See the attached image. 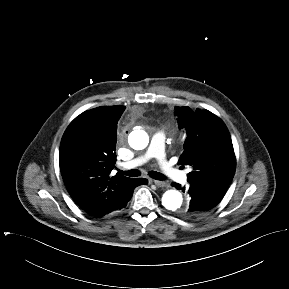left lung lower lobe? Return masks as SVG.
<instances>
[{"label":"left lung lower lobe","instance_id":"left-lung-lower-lobe-1","mask_svg":"<svg viewBox=\"0 0 289 289\" xmlns=\"http://www.w3.org/2000/svg\"><path fill=\"white\" fill-rule=\"evenodd\" d=\"M172 186L185 192V187L173 183ZM191 197L189 207L184 211L187 217H198L215 207L223 198L225 191L204 184L189 183Z\"/></svg>","mask_w":289,"mask_h":289}]
</instances>
